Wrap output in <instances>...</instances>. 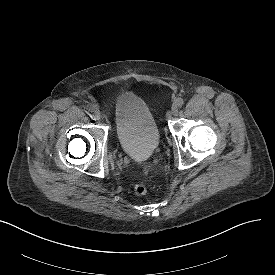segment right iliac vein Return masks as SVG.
I'll use <instances>...</instances> for the list:
<instances>
[{
	"instance_id": "63e3f726",
	"label": "right iliac vein",
	"mask_w": 275,
	"mask_h": 275,
	"mask_svg": "<svg viewBox=\"0 0 275 275\" xmlns=\"http://www.w3.org/2000/svg\"><path fill=\"white\" fill-rule=\"evenodd\" d=\"M93 114L95 118L99 119L100 118V111L97 107H94Z\"/></svg>"
}]
</instances>
